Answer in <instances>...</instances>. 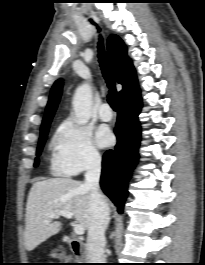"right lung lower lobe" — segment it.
Segmentation results:
<instances>
[{
    "label": "right lung lower lobe",
    "mask_w": 205,
    "mask_h": 265,
    "mask_svg": "<svg viewBox=\"0 0 205 265\" xmlns=\"http://www.w3.org/2000/svg\"><path fill=\"white\" fill-rule=\"evenodd\" d=\"M142 108L141 98L126 105H119L115 134L117 144L108 150L102 160L100 185L104 193L123 212L127 197V184L130 172L138 161V148L141 138L138 115Z\"/></svg>",
    "instance_id": "right-lung-lower-lobe-1"
}]
</instances>
